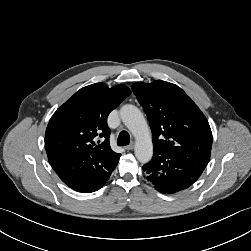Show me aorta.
Masks as SVG:
<instances>
[{
  "mask_svg": "<svg viewBox=\"0 0 251 251\" xmlns=\"http://www.w3.org/2000/svg\"><path fill=\"white\" fill-rule=\"evenodd\" d=\"M120 117L135 137V156L141 163H147L153 155V145L148 124L141 111L134 105L126 104L120 109Z\"/></svg>",
  "mask_w": 251,
  "mask_h": 251,
  "instance_id": "aorta-1",
  "label": "aorta"
}]
</instances>
